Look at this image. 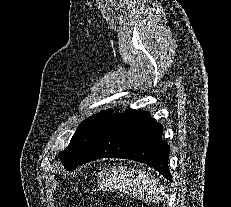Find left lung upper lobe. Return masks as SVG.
Masks as SVG:
<instances>
[{
  "label": "left lung upper lobe",
  "instance_id": "left-lung-upper-lobe-1",
  "mask_svg": "<svg viewBox=\"0 0 231 207\" xmlns=\"http://www.w3.org/2000/svg\"><path fill=\"white\" fill-rule=\"evenodd\" d=\"M112 110L95 114L85 119L77 128V131L73 135L69 146L59 153V158L62 160L64 167L67 170H71L75 167L94 138L104 125L105 121L111 116Z\"/></svg>",
  "mask_w": 231,
  "mask_h": 207
}]
</instances>
